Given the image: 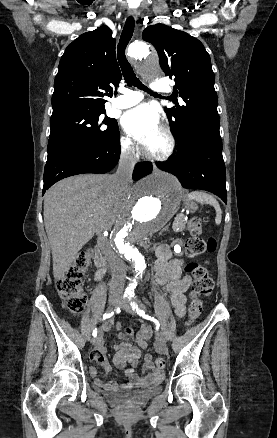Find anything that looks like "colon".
Here are the masks:
<instances>
[{
  "label": "colon",
  "instance_id": "5ec220e1",
  "mask_svg": "<svg viewBox=\"0 0 277 438\" xmlns=\"http://www.w3.org/2000/svg\"><path fill=\"white\" fill-rule=\"evenodd\" d=\"M202 228V221L198 218L191 219L186 229L191 234L186 239V255L188 257H198L202 254L213 253L216 249V240L214 237L199 236ZM86 257H94L95 249L86 248ZM89 261L81 259L68 269L65 275L60 278L56 284V291L60 297L64 299L65 307L73 314H80L83 312L86 304V295L82 290L81 276L88 269ZM187 273L193 279L192 286V301L187 310V323L191 324L201 314L203 302L201 297L212 293L214 289V280L209 275L207 268L198 263H190L186 267ZM156 367L162 369L166 361L162 356L155 360Z\"/></svg>",
  "mask_w": 277,
  "mask_h": 438
}]
</instances>
